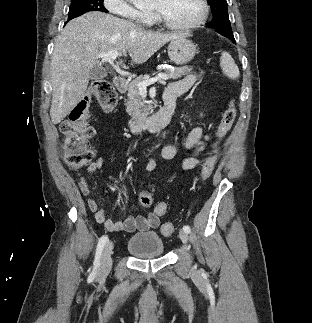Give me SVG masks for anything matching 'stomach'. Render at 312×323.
<instances>
[{
    "instance_id": "stomach-1",
    "label": "stomach",
    "mask_w": 312,
    "mask_h": 323,
    "mask_svg": "<svg viewBox=\"0 0 312 323\" xmlns=\"http://www.w3.org/2000/svg\"><path fill=\"white\" fill-rule=\"evenodd\" d=\"M168 56L174 64H188L197 54L196 46L186 36L172 40L168 46Z\"/></svg>"
}]
</instances>
